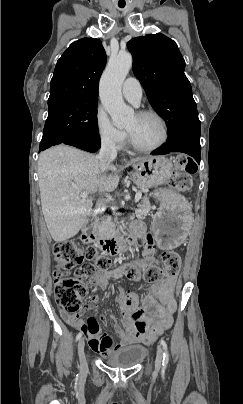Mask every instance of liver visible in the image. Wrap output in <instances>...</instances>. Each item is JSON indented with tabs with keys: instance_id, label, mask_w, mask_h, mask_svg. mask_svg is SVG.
Returning <instances> with one entry per match:
<instances>
[{
	"instance_id": "liver-1",
	"label": "liver",
	"mask_w": 243,
	"mask_h": 404,
	"mask_svg": "<svg viewBox=\"0 0 243 404\" xmlns=\"http://www.w3.org/2000/svg\"><path fill=\"white\" fill-rule=\"evenodd\" d=\"M146 158H135L131 164ZM108 170L117 172L115 166ZM39 190L46 226L54 242H66L81 230L92 210V198L82 200L88 192H114L119 176L101 180L97 156L70 146H54L41 152L38 160Z\"/></svg>"
}]
</instances>
